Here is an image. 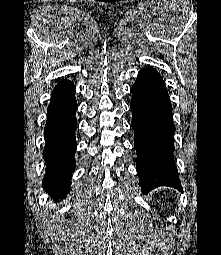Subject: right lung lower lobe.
I'll use <instances>...</instances> for the list:
<instances>
[{
  "mask_svg": "<svg viewBox=\"0 0 221 255\" xmlns=\"http://www.w3.org/2000/svg\"><path fill=\"white\" fill-rule=\"evenodd\" d=\"M76 110L75 87L71 81L62 80L52 92L44 129L46 174L42 186L54 200L68 193L75 169Z\"/></svg>",
  "mask_w": 221,
  "mask_h": 255,
  "instance_id": "right-lung-lower-lobe-1",
  "label": "right lung lower lobe"
}]
</instances>
